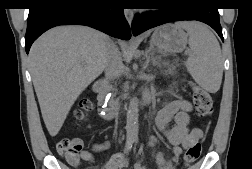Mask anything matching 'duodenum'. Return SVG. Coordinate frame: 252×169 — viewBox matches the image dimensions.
<instances>
[{"instance_id": "duodenum-1", "label": "duodenum", "mask_w": 252, "mask_h": 169, "mask_svg": "<svg viewBox=\"0 0 252 169\" xmlns=\"http://www.w3.org/2000/svg\"><path fill=\"white\" fill-rule=\"evenodd\" d=\"M93 90L97 93L99 107L103 119L106 121L112 120L114 117L113 102L108 98L105 83L102 80L97 81L93 86ZM149 104V98H144L142 100L143 106H148Z\"/></svg>"}]
</instances>
